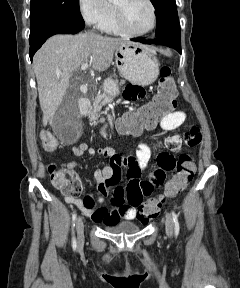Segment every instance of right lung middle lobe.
<instances>
[{
	"label": "right lung middle lobe",
	"instance_id": "right-lung-middle-lobe-1",
	"mask_svg": "<svg viewBox=\"0 0 240 288\" xmlns=\"http://www.w3.org/2000/svg\"><path fill=\"white\" fill-rule=\"evenodd\" d=\"M56 22L85 24L79 9V0H31L29 40L45 26Z\"/></svg>",
	"mask_w": 240,
	"mask_h": 288
}]
</instances>
